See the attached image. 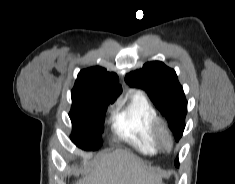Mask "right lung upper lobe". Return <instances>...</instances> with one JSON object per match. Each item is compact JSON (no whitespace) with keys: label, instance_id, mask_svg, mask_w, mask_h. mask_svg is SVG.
<instances>
[{"label":"right lung upper lobe","instance_id":"right-lung-upper-lobe-1","mask_svg":"<svg viewBox=\"0 0 235 184\" xmlns=\"http://www.w3.org/2000/svg\"><path fill=\"white\" fill-rule=\"evenodd\" d=\"M121 92L118 76L95 66L80 71L71 94L80 96L87 105L104 106L113 103Z\"/></svg>","mask_w":235,"mask_h":184}]
</instances>
